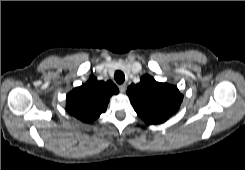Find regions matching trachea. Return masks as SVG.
Returning <instances> with one entry per match:
<instances>
[{"label":"trachea","mask_w":245,"mask_h":170,"mask_svg":"<svg viewBox=\"0 0 245 170\" xmlns=\"http://www.w3.org/2000/svg\"><path fill=\"white\" fill-rule=\"evenodd\" d=\"M114 79L118 84H122L125 80V75L122 71H116L114 74Z\"/></svg>","instance_id":"1"}]
</instances>
